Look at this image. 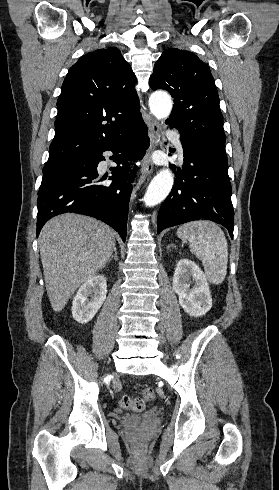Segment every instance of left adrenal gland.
<instances>
[{
	"instance_id": "a2214340",
	"label": "left adrenal gland",
	"mask_w": 279,
	"mask_h": 490,
	"mask_svg": "<svg viewBox=\"0 0 279 490\" xmlns=\"http://www.w3.org/2000/svg\"><path fill=\"white\" fill-rule=\"evenodd\" d=\"M170 248H176V246H174V244H169V246H167V250H170Z\"/></svg>"
}]
</instances>
